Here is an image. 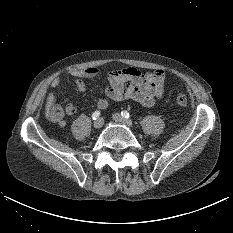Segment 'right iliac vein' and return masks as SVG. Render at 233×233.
<instances>
[{
	"mask_svg": "<svg viewBox=\"0 0 233 233\" xmlns=\"http://www.w3.org/2000/svg\"><path fill=\"white\" fill-rule=\"evenodd\" d=\"M103 123H104L103 119L99 118L94 122L93 126L95 129H100L103 126Z\"/></svg>",
	"mask_w": 233,
	"mask_h": 233,
	"instance_id": "right-iliac-vein-1",
	"label": "right iliac vein"
}]
</instances>
